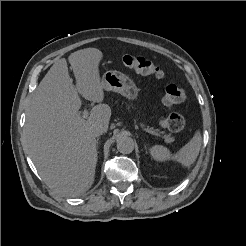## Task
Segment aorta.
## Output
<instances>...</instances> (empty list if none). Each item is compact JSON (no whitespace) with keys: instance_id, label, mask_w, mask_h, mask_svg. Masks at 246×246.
<instances>
[{"instance_id":"762f6f07","label":"aorta","mask_w":246,"mask_h":246,"mask_svg":"<svg viewBox=\"0 0 246 246\" xmlns=\"http://www.w3.org/2000/svg\"><path fill=\"white\" fill-rule=\"evenodd\" d=\"M116 142H117V149L122 154H129L134 150L133 139L125 133L120 134L117 137Z\"/></svg>"}]
</instances>
